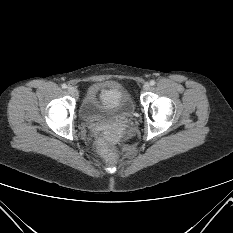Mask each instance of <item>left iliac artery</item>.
Instances as JSON below:
<instances>
[{
    "mask_svg": "<svg viewBox=\"0 0 233 233\" xmlns=\"http://www.w3.org/2000/svg\"><path fill=\"white\" fill-rule=\"evenodd\" d=\"M155 83H156L155 80H151V81H150V85H151V86H154Z\"/></svg>",
    "mask_w": 233,
    "mask_h": 233,
    "instance_id": "obj_1",
    "label": "left iliac artery"
}]
</instances>
